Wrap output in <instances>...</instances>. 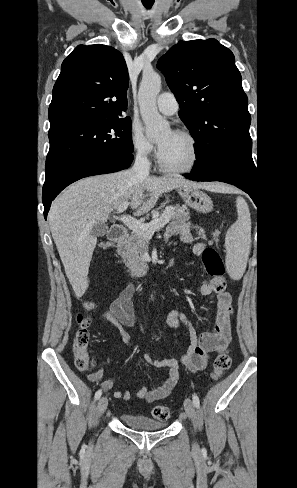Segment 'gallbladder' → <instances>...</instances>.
Instances as JSON below:
<instances>
[{"label": "gallbladder", "mask_w": 297, "mask_h": 488, "mask_svg": "<svg viewBox=\"0 0 297 488\" xmlns=\"http://www.w3.org/2000/svg\"><path fill=\"white\" fill-rule=\"evenodd\" d=\"M108 231V226L103 223H97L92 229V233L98 237L104 236Z\"/></svg>", "instance_id": "obj_1"}]
</instances>
